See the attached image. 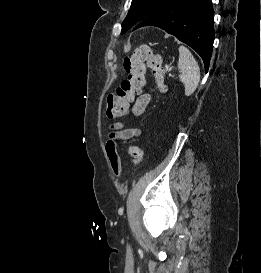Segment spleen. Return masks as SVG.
Here are the masks:
<instances>
[{"mask_svg": "<svg viewBox=\"0 0 261 273\" xmlns=\"http://www.w3.org/2000/svg\"><path fill=\"white\" fill-rule=\"evenodd\" d=\"M179 79L184 84L185 95H192L200 82V68L192 53L185 46L179 47Z\"/></svg>", "mask_w": 261, "mask_h": 273, "instance_id": "obj_1", "label": "spleen"}]
</instances>
